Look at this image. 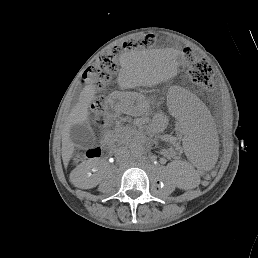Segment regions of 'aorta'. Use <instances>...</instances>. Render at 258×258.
Masks as SVG:
<instances>
[{"label":"aorta","mask_w":258,"mask_h":258,"mask_svg":"<svg viewBox=\"0 0 258 258\" xmlns=\"http://www.w3.org/2000/svg\"><path fill=\"white\" fill-rule=\"evenodd\" d=\"M137 155H140L141 153L140 152H138V153H136Z\"/></svg>","instance_id":"762f6f07"}]
</instances>
